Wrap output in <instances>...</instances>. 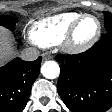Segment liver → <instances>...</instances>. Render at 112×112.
I'll return each instance as SVG.
<instances>
[{
  "label": "liver",
  "mask_w": 112,
  "mask_h": 112,
  "mask_svg": "<svg viewBox=\"0 0 112 112\" xmlns=\"http://www.w3.org/2000/svg\"><path fill=\"white\" fill-rule=\"evenodd\" d=\"M15 54L10 32L0 26V65Z\"/></svg>",
  "instance_id": "6515ba94"
}]
</instances>
